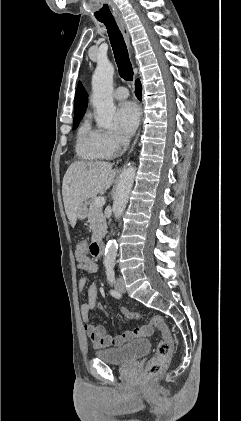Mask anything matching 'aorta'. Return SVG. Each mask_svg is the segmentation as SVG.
I'll list each match as a JSON object with an SVG mask.
<instances>
[{
	"label": "aorta",
	"mask_w": 241,
	"mask_h": 421,
	"mask_svg": "<svg viewBox=\"0 0 241 421\" xmlns=\"http://www.w3.org/2000/svg\"><path fill=\"white\" fill-rule=\"evenodd\" d=\"M113 74V65L109 61L100 60L92 77V103L97 112L96 122L99 127L106 129L114 128L113 119L116 107L112 97ZM135 172L134 165L129 163L120 175L113 201V213L116 220L122 216L126 208L129 193L134 183ZM117 248L116 241L109 240L104 257V264L107 268L115 264Z\"/></svg>",
	"instance_id": "obj_1"
}]
</instances>
